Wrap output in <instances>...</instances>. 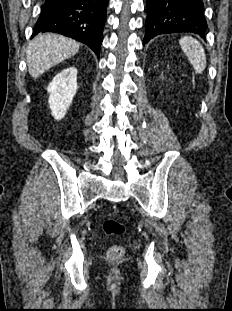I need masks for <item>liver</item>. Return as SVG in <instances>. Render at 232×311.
Returning a JSON list of instances; mask_svg holds the SVG:
<instances>
[{"label":"liver","instance_id":"obj_1","mask_svg":"<svg viewBox=\"0 0 232 311\" xmlns=\"http://www.w3.org/2000/svg\"><path fill=\"white\" fill-rule=\"evenodd\" d=\"M79 43L59 34L36 36L28 45L26 61L31 77L38 78L46 70L75 55Z\"/></svg>","mask_w":232,"mask_h":311}]
</instances>
